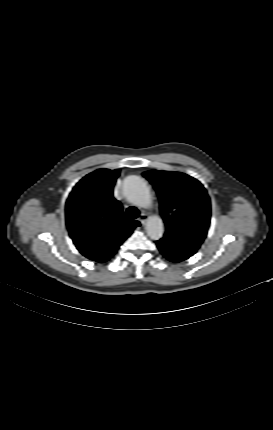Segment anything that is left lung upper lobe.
Returning <instances> with one entry per match:
<instances>
[{
    "label": "left lung upper lobe",
    "mask_w": 273,
    "mask_h": 430,
    "mask_svg": "<svg viewBox=\"0 0 273 430\" xmlns=\"http://www.w3.org/2000/svg\"><path fill=\"white\" fill-rule=\"evenodd\" d=\"M160 199L166 232L159 241L161 253L192 256L207 236L211 206L203 185L179 172L151 170L143 173Z\"/></svg>",
    "instance_id": "5c2ea615"
}]
</instances>
